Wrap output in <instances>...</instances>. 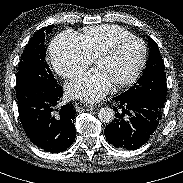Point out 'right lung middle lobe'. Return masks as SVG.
<instances>
[{
  "mask_svg": "<svg viewBox=\"0 0 183 183\" xmlns=\"http://www.w3.org/2000/svg\"><path fill=\"white\" fill-rule=\"evenodd\" d=\"M54 25L38 30L25 46L16 75V98L25 97L30 90H50L58 84L45 60V36Z\"/></svg>",
  "mask_w": 183,
  "mask_h": 183,
  "instance_id": "1",
  "label": "right lung middle lobe"
}]
</instances>
